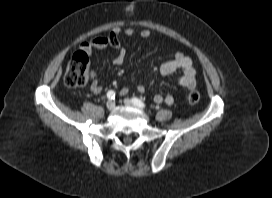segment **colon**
Returning <instances> with one entry per match:
<instances>
[{"label": "colon", "mask_w": 272, "mask_h": 198, "mask_svg": "<svg viewBox=\"0 0 272 198\" xmlns=\"http://www.w3.org/2000/svg\"><path fill=\"white\" fill-rule=\"evenodd\" d=\"M93 73L89 65L87 53L79 51L72 57L64 76L65 84L70 88L85 86L91 79ZM200 100V94L192 91L188 94V101L196 104Z\"/></svg>", "instance_id": "1"}]
</instances>
